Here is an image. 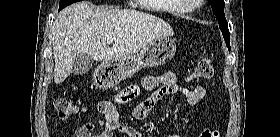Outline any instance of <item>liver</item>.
I'll return each mask as SVG.
<instances>
[{
    "label": "liver",
    "mask_w": 280,
    "mask_h": 137,
    "mask_svg": "<svg viewBox=\"0 0 280 137\" xmlns=\"http://www.w3.org/2000/svg\"><path fill=\"white\" fill-rule=\"evenodd\" d=\"M169 35H173L171 26L153 15L131 9H94L86 1L74 3L53 23L54 82L60 84L70 75L78 54L103 62L124 59ZM111 38L116 41L108 47Z\"/></svg>",
    "instance_id": "1"
}]
</instances>
